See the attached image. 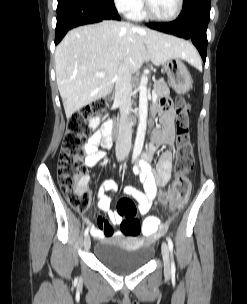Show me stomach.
Listing matches in <instances>:
<instances>
[{
  "label": "stomach",
  "instance_id": "stomach-1",
  "mask_svg": "<svg viewBox=\"0 0 247 304\" xmlns=\"http://www.w3.org/2000/svg\"><path fill=\"white\" fill-rule=\"evenodd\" d=\"M170 85L178 94L188 92L192 87V78L186 65L180 58L169 59L164 63Z\"/></svg>",
  "mask_w": 247,
  "mask_h": 304
}]
</instances>
